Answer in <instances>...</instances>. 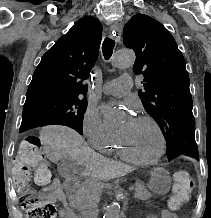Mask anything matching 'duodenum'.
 <instances>
[{"instance_id":"duodenum-1","label":"duodenum","mask_w":211,"mask_h":218,"mask_svg":"<svg viewBox=\"0 0 211 218\" xmlns=\"http://www.w3.org/2000/svg\"><path fill=\"white\" fill-rule=\"evenodd\" d=\"M80 184V180L78 177L76 176H71V177H68L65 182H64V187L67 189V190H72V189H75L76 187H78Z\"/></svg>"}]
</instances>
